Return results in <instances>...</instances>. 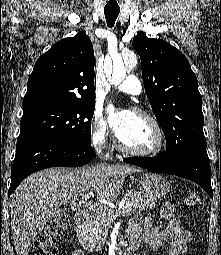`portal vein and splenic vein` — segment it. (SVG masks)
<instances>
[{
  "instance_id": "obj_1",
  "label": "portal vein and splenic vein",
  "mask_w": 221,
  "mask_h": 255,
  "mask_svg": "<svg viewBox=\"0 0 221 255\" xmlns=\"http://www.w3.org/2000/svg\"><path fill=\"white\" fill-rule=\"evenodd\" d=\"M89 198L88 195L84 196L82 198V202L85 203L86 202V206L92 210V211H95L97 213H100L102 211H106L107 208L103 205H100L99 203H91V202H87V199ZM129 209H130V206L128 204H126L121 210L117 211L116 212V215L117 216H120V215H125L129 212Z\"/></svg>"
}]
</instances>
